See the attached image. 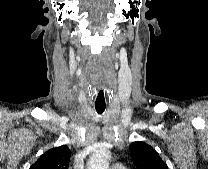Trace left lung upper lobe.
I'll list each match as a JSON object with an SVG mask.
<instances>
[{
    "label": "left lung upper lobe",
    "mask_w": 208,
    "mask_h": 169,
    "mask_svg": "<svg viewBox=\"0 0 208 169\" xmlns=\"http://www.w3.org/2000/svg\"><path fill=\"white\" fill-rule=\"evenodd\" d=\"M130 152L137 169H168L155 149L144 142H133L130 145Z\"/></svg>",
    "instance_id": "left-lung-upper-lobe-1"
}]
</instances>
